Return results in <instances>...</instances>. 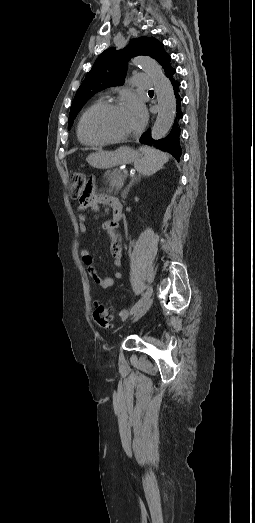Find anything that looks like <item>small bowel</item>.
<instances>
[{"label": "small bowel", "instance_id": "obj_1", "mask_svg": "<svg viewBox=\"0 0 255 523\" xmlns=\"http://www.w3.org/2000/svg\"><path fill=\"white\" fill-rule=\"evenodd\" d=\"M109 197L105 195H94L90 191V195L85 200H80L78 209L80 211H85L88 208H91L93 210H97L99 208V204H107V199ZM87 216L84 213H81L78 216V223H79V231L82 236H85L87 233ZM102 229L108 234L110 237V251L114 258V265L116 267H120L122 264V246L120 242L119 235L116 233V223L113 221H105L102 224ZM80 256L84 264L86 265V271L89 276V278L92 280V282L98 286H100L103 289H108L114 284V279L111 277H100L96 271V268L93 264V259L91 257V254L89 250L86 247H83L80 249ZM122 277L121 271L115 272V278L119 279Z\"/></svg>", "mask_w": 255, "mask_h": 523}]
</instances>
